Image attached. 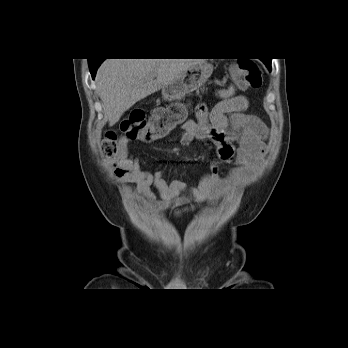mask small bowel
<instances>
[{
	"label": "small bowel",
	"mask_w": 348,
	"mask_h": 348,
	"mask_svg": "<svg viewBox=\"0 0 348 348\" xmlns=\"http://www.w3.org/2000/svg\"><path fill=\"white\" fill-rule=\"evenodd\" d=\"M216 96L219 101L212 109L202 103L196 109V118L182 124L179 140L188 145L197 139H208L220 163H234L229 175L222 177L216 164L196 187L189 188L180 178H167L160 172L145 169L144 162L131 153L128 140L123 137L121 152L107 161V166L120 181L136 185L138 201L160 213L190 201L216 203L230 198L235 189L256 174L266 151L264 139L268 128L257 117L245 113L248 99L237 94L234 85L218 89ZM153 187L162 200H155Z\"/></svg>",
	"instance_id": "1"
}]
</instances>
